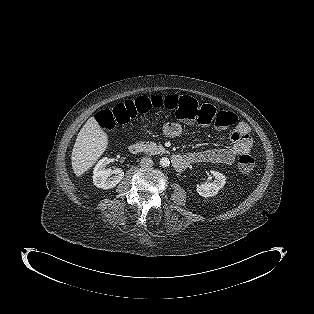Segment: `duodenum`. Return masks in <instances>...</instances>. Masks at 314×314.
<instances>
[{"instance_id":"obj_1","label":"duodenum","mask_w":314,"mask_h":314,"mask_svg":"<svg viewBox=\"0 0 314 314\" xmlns=\"http://www.w3.org/2000/svg\"><path fill=\"white\" fill-rule=\"evenodd\" d=\"M129 152L133 155H138L143 152V145L140 143H133L129 146ZM193 158L188 155H173L172 166L177 171L184 170L189 164L193 163Z\"/></svg>"}]
</instances>
